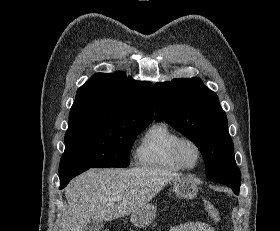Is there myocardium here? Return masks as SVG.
<instances>
[{"label":"myocardium","mask_w":280,"mask_h":231,"mask_svg":"<svg viewBox=\"0 0 280 231\" xmlns=\"http://www.w3.org/2000/svg\"><path fill=\"white\" fill-rule=\"evenodd\" d=\"M185 142L193 143L196 146V148L198 149L200 160H199L198 165L194 169L187 168L182 162V159H181V156H180V149H181V146ZM173 157L176 160V162L178 163V165L180 166V168L184 171H187V172L197 171L203 165L204 160H205V154H204V150H203L202 145L196 139L188 137V136H180L177 139V141H176V143L173 147Z\"/></svg>","instance_id":"1"}]
</instances>
